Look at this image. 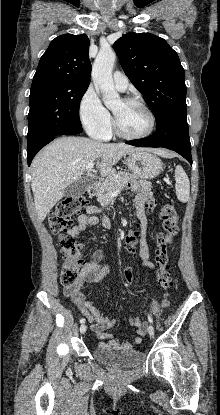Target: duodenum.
I'll use <instances>...</instances> for the list:
<instances>
[{
  "label": "duodenum",
  "instance_id": "410a0bca",
  "mask_svg": "<svg viewBox=\"0 0 220 415\" xmlns=\"http://www.w3.org/2000/svg\"><path fill=\"white\" fill-rule=\"evenodd\" d=\"M95 190H96L95 183L94 182H90L89 185H88V187H87L88 194H90V195L94 194L95 193Z\"/></svg>",
  "mask_w": 220,
  "mask_h": 415
}]
</instances>
